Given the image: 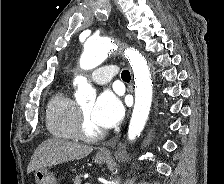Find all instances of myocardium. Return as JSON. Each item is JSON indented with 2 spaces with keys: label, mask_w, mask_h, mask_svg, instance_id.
<instances>
[{
  "label": "myocardium",
  "mask_w": 224,
  "mask_h": 184,
  "mask_svg": "<svg viewBox=\"0 0 224 184\" xmlns=\"http://www.w3.org/2000/svg\"><path fill=\"white\" fill-rule=\"evenodd\" d=\"M104 135L105 133L101 129H91L82 108L79 107L77 118V137L85 141L93 142L103 138Z\"/></svg>",
  "instance_id": "myocardium-1"
}]
</instances>
